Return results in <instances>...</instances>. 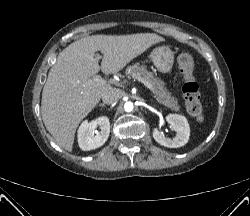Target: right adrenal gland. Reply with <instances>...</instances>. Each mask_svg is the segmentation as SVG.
Segmentation results:
<instances>
[{
  "mask_svg": "<svg viewBox=\"0 0 250 216\" xmlns=\"http://www.w3.org/2000/svg\"><path fill=\"white\" fill-rule=\"evenodd\" d=\"M99 106H101V107H105V105H104V104H99Z\"/></svg>",
  "mask_w": 250,
  "mask_h": 216,
  "instance_id": "2a0ac1e0",
  "label": "right adrenal gland"
}]
</instances>
